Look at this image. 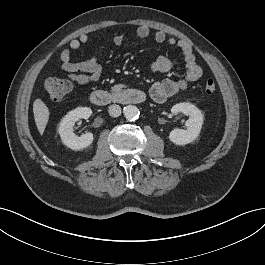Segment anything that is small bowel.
I'll use <instances>...</instances> for the list:
<instances>
[{
	"label": "small bowel",
	"instance_id": "small-bowel-1",
	"mask_svg": "<svg viewBox=\"0 0 265 265\" xmlns=\"http://www.w3.org/2000/svg\"><path fill=\"white\" fill-rule=\"evenodd\" d=\"M151 31L148 26L142 25L136 30V37L139 39L147 38ZM124 35L117 34L109 37V40L115 45H121L124 42ZM154 39L158 43H167L170 46H177L183 56L186 72L178 80H162L155 83L151 90L150 96L157 103H164L170 97L185 91L191 83L202 77L203 70L196 62L191 45L185 40H177L168 36L163 30H158L154 34ZM88 35L83 34L78 38L70 41L68 47L61 52V68L69 79L79 85H88L98 81L102 75V66L98 61L96 54L82 61H73V52L80 49L89 42ZM150 69L158 73H166L173 68L171 59L160 56L149 65Z\"/></svg>",
	"mask_w": 265,
	"mask_h": 265
}]
</instances>
